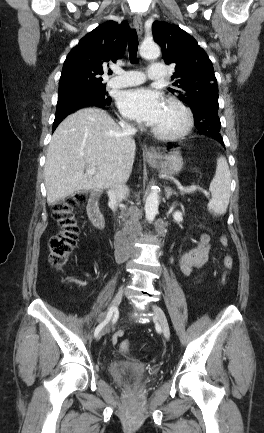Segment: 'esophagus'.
<instances>
[{"instance_id":"esophagus-1","label":"esophagus","mask_w":264,"mask_h":433,"mask_svg":"<svg viewBox=\"0 0 264 433\" xmlns=\"http://www.w3.org/2000/svg\"><path fill=\"white\" fill-rule=\"evenodd\" d=\"M133 23L137 33L141 35L143 32V23L141 17L139 15L135 16ZM145 154L149 160H155L158 157V153L154 147L146 149Z\"/></svg>"}]
</instances>
